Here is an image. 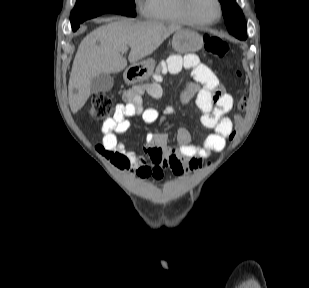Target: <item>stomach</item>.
Instances as JSON below:
<instances>
[{
	"label": "stomach",
	"instance_id": "1",
	"mask_svg": "<svg viewBox=\"0 0 309 288\" xmlns=\"http://www.w3.org/2000/svg\"><path fill=\"white\" fill-rule=\"evenodd\" d=\"M172 47L180 54L194 53L203 47V37L194 30L180 28L173 35ZM154 68V59L140 61L125 70L124 80L130 84L144 82L151 77Z\"/></svg>",
	"mask_w": 309,
	"mask_h": 288
}]
</instances>
